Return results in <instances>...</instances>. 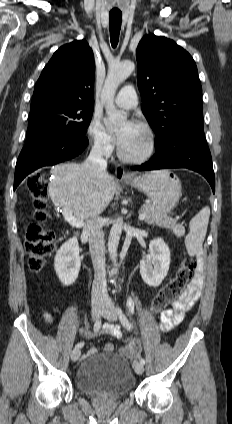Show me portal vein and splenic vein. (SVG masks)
I'll return each mask as SVG.
<instances>
[{"mask_svg":"<svg viewBox=\"0 0 232 424\" xmlns=\"http://www.w3.org/2000/svg\"><path fill=\"white\" fill-rule=\"evenodd\" d=\"M63 216L65 218V220L72 226L75 227H83L84 226V222L80 219L75 218L69 211L65 210L63 211ZM146 217L145 213H140L139 214V219L140 220H144Z\"/></svg>","mask_w":232,"mask_h":424,"instance_id":"18ae733b","label":"portal vein and splenic vein"}]
</instances>
